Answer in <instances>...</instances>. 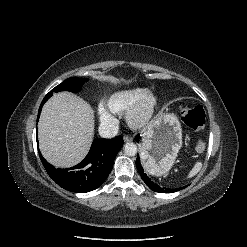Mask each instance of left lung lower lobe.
Wrapping results in <instances>:
<instances>
[{
	"label": "left lung lower lobe",
	"mask_w": 247,
	"mask_h": 247,
	"mask_svg": "<svg viewBox=\"0 0 247 247\" xmlns=\"http://www.w3.org/2000/svg\"><path fill=\"white\" fill-rule=\"evenodd\" d=\"M138 136L136 137V139L138 140ZM136 166L138 169V172L141 176V178L143 179V181L146 183V185L153 191L155 192H159V193H171V192H176L179 191L185 187H180V188H176V189H170V188H165V187H160L159 185H157L156 183H154L153 181H151V179L147 176V174L144 172L141 163H140V158L137 157L136 159Z\"/></svg>",
	"instance_id": "left-lung-lower-lobe-1"
}]
</instances>
